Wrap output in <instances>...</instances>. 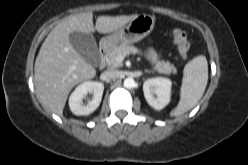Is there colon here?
<instances>
[{"mask_svg": "<svg viewBox=\"0 0 248 165\" xmlns=\"http://www.w3.org/2000/svg\"><path fill=\"white\" fill-rule=\"evenodd\" d=\"M172 37L175 44L177 45L179 54L182 57H186L191 48L186 32L181 29H174L172 31Z\"/></svg>", "mask_w": 248, "mask_h": 165, "instance_id": "colon-1", "label": "colon"}]
</instances>
